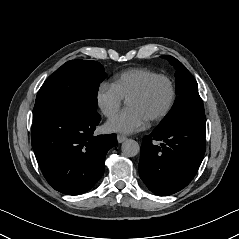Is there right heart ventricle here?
<instances>
[{"instance_id": "right-heart-ventricle-1", "label": "right heart ventricle", "mask_w": 239, "mask_h": 239, "mask_svg": "<svg viewBox=\"0 0 239 239\" xmlns=\"http://www.w3.org/2000/svg\"><path fill=\"white\" fill-rule=\"evenodd\" d=\"M158 76L156 72L135 68L121 73L114 81V86L123 99L141 88L149 79Z\"/></svg>"}]
</instances>
